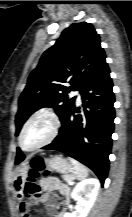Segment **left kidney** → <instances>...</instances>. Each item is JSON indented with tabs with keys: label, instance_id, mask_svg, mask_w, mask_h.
Wrapping results in <instances>:
<instances>
[{
	"label": "left kidney",
	"instance_id": "5707ae66",
	"mask_svg": "<svg viewBox=\"0 0 132 217\" xmlns=\"http://www.w3.org/2000/svg\"><path fill=\"white\" fill-rule=\"evenodd\" d=\"M100 182L96 178H88L78 183L72 191L71 197L78 201L76 210L72 213H65L63 217H86L92 208Z\"/></svg>",
	"mask_w": 132,
	"mask_h": 217
}]
</instances>
